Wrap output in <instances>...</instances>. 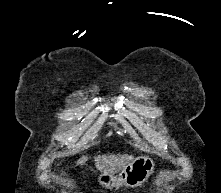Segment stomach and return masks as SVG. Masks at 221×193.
Listing matches in <instances>:
<instances>
[{"label":"stomach","mask_w":221,"mask_h":193,"mask_svg":"<svg viewBox=\"0 0 221 193\" xmlns=\"http://www.w3.org/2000/svg\"><path fill=\"white\" fill-rule=\"evenodd\" d=\"M154 161L147 156H140L127 164L118 176L101 172L98 182L107 189L120 187H137L142 185L154 170Z\"/></svg>","instance_id":"stomach-1"}]
</instances>
